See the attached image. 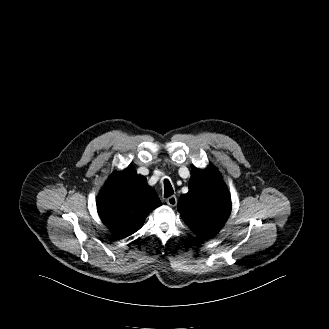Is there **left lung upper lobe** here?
Segmentation results:
<instances>
[{"mask_svg": "<svg viewBox=\"0 0 329 329\" xmlns=\"http://www.w3.org/2000/svg\"><path fill=\"white\" fill-rule=\"evenodd\" d=\"M189 192L180 197L178 211L184 222L200 238L213 237L231 212V198L215 169L194 167Z\"/></svg>", "mask_w": 329, "mask_h": 329, "instance_id": "obj_1", "label": "left lung upper lobe"}]
</instances>
